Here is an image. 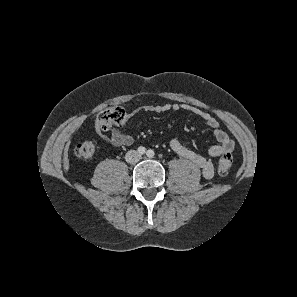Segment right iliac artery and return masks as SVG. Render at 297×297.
<instances>
[{"label": "right iliac artery", "mask_w": 297, "mask_h": 297, "mask_svg": "<svg viewBox=\"0 0 297 297\" xmlns=\"http://www.w3.org/2000/svg\"><path fill=\"white\" fill-rule=\"evenodd\" d=\"M138 153H139V154H145V153H146V149H145V147L140 146V147L138 148Z\"/></svg>", "instance_id": "right-iliac-artery-1"}]
</instances>
